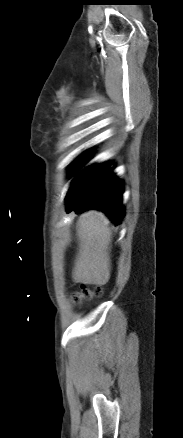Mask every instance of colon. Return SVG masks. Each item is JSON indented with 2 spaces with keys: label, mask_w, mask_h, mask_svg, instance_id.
<instances>
[{
  "label": "colon",
  "mask_w": 183,
  "mask_h": 438,
  "mask_svg": "<svg viewBox=\"0 0 183 438\" xmlns=\"http://www.w3.org/2000/svg\"><path fill=\"white\" fill-rule=\"evenodd\" d=\"M101 294V290L99 288L90 289L88 287H82V289L75 293L74 301L76 303H82L84 301H88L93 297L99 296Z\"/></svg>",
  "instance_id": "5ec220e1"
}]
</instances>
